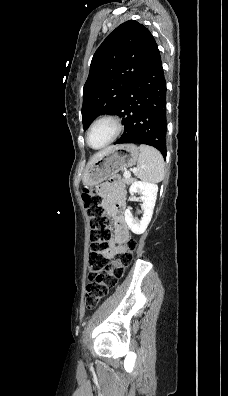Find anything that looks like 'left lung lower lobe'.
<instances>
[{"instance_id": "obj_1", "label": "left lung lower lobe", "mask_w": 228, "mask_h": 396, "mask_svg": "<svg viewBox=\"0 0 228 396\" xmlns=\"http://www.w3.org/2000/svg\"><path fill=\"white\" fill-rule=\"evenodd\" d=\"M166 91L161 56L155 44L116 113L123 117L125 129L114 144L151 145L166 158Z\"/></svg>"}]
</instances>
